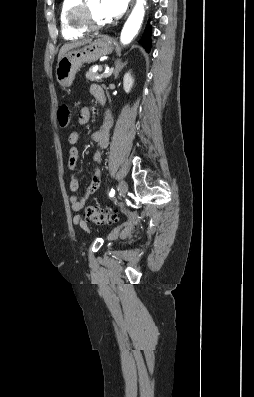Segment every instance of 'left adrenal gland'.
I'll use <instances>...</instances> for the list:
<instances>
[{
  "label": "left adrenal gland",
  "mask_w": 254,
  "mask_h": 397,
  "mask_svg": "<svg viewBox=\"0 0 254 397\" xmlns=\"http://www.w3.org/2000/svg\"><path fill=\"white\" fill-rule=\"evenodd\" d=\"M127 65V62L122 63L121 60H117L115 62V69L113 72L114 78L116 79L119 76V73L121 71V69H123L124 66Z\"/></svg>",
  "instance_id": "1"
}]
</instances>
